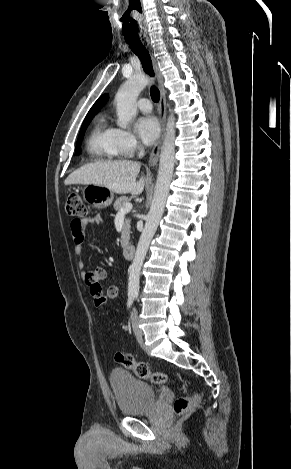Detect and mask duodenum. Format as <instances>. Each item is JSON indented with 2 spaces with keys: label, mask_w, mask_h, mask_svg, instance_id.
I'll return each mask as SVG.
<instances>
[{
  "label": "duodenum",
  "mask_w": 291,
  "mask_h": 469,
  "mask_svg": "<svg viewBox=\"0 0 291 469\" xmlns=\"http://www.w3.org/2000/svg\"><path fill=\"white\" fill-rule=\"evenodd\" d=\"M135 246L132 244H127L124 246L123 253L127 259H131L135 255Z\"/></svg>",
  "instance_id": "410a0bca"
}]
</instances>
